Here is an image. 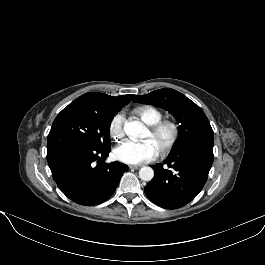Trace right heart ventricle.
I'll list each match as a JSON object with an SVG mask.
<instances>
[{"label": "right heart ventricle", "instance_id": "obj_1", "mask_svg": "<svg viewBox=\"0 0 265 265\" xmlns=\"http://www.w3.org/2000/svg\"><path fill=\"white\" fill-rule=\"evenodd\" d=\"M139 118L147 125H153L162 120V113L152 106H140L135 109Z\"/></svg>", "mask_w": 265, "mask_h": 265}]
</instances>
